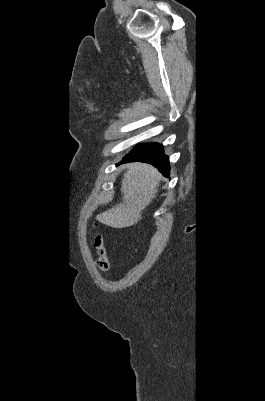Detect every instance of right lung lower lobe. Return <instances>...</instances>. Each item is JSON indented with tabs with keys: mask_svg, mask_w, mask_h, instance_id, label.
I'll return each mask as SVG.
<instances>
[{
	"mask_svg": "<svg viewBox=\"0 0 265 401\" xmlns=\"http://www.w3.org/2000/svg\"><path fill=\"white\" fill-rule=\"evenodd\" d=\"M141 161L157 167L164 176L169 175V158L164 154L163 146L158 143L137 146L120 163Z\"/></svg>",
	"mask_w": 265,
	"mask_h": 401,
	"instance_id": "98d812e1",
	"label": "right lung lower lobe"
}]
</instances>
